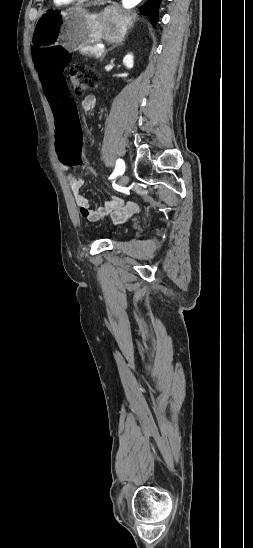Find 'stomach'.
<instances>
[{"label": "stomach", "mask_w": 253, "mask_h": 548, "mask_svg": "<svg viewBox=\"0 0 253 548\" xmlns=\"http://www.w3.org/2000/svg\"><path fill=\"white\" fill-rule=\"evenodd\" d=\"M133 23V16L122 15L115 6L94 14L81 7L53 9L38 20L33 40L40 45L60 43L69 51H77L102 40L121 42Z\"/></svg>", "instance_id": "1"}]
</instances>
